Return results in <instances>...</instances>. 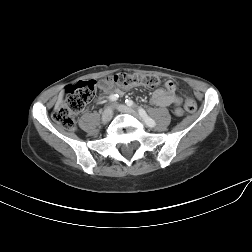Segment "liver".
Segmentation results:
<instances>
[{
	"mask_svg": "<svg viewBox=\"0 0 252 252\" xmlns=\"http://www.w3.org/2000/svg\"><path fill=\"white\" fill-rule=\"evenodd\" d=\"M62 99H63V92H61L58 96V101L56 103V106H59L62 102Z\"/></svg>",
	"mask_w": 252,
	"mask_h": 252,
	"instance_id": "1",
	"label": "liver"
}]
</instances>
